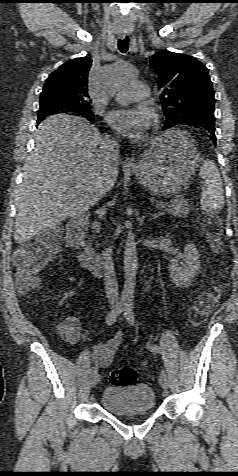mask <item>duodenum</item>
Segmentation results:
<instances>
[{"label": "duodenum", "instance_id": "obj_1", "mask_svg": "<svg viewBox=\"0 0 238 476\" xmlns=\"http://www.w3.org/2000/svg\"><path fill=\"white\" fill-rule=\"evenodd\" d=\"M88 224L86 214L72 218L67 224L66 241L78 261L93 274L102 276L105 271L104 258L87 246L84 233Z\"/></svg>", "mask_w": 238, "mask_h": 476}]
</instances>
